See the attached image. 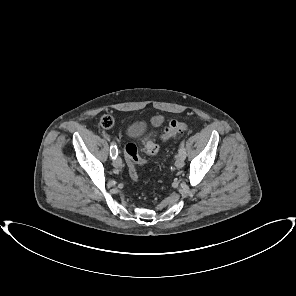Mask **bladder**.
Instances as JSON below:
<instances>
[{
    "label": "bladder",
    "instance_id": "obj_1",
    "mask_svg": "<svg viewBox=\"0 0 296 296\" xmlns=\"http://www.w3.org/2000/svg\"><path fill=\"white\" fill-rule=\"evenodd\" d=\"M144 124L142 122H133L127 127V136L137 138L144 133Z\"/></svg>",
    "mask_w": 296,
    "mask_h": 296
}]
</instances>
